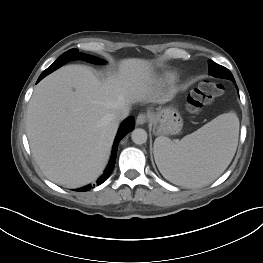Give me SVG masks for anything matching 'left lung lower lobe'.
I'll return each instance as SVG.
<instances>
[{"label":"left lung lower lobe","instance_id":"1","mask_svg":"<svg viewBox=\"0 0 263 263\" xmlns=\"http://www.w3.org/2000/svg\"><path fill=\"white\" fill-rule=\"evenodd\" d=\"M209 72H210V74H212V75H215V74H216V70H215L214 67H212V66L209 67Z\"/></svg>","mask_w":263,"mask_h":263}]
</instances>
